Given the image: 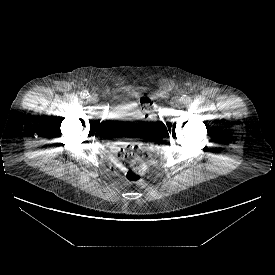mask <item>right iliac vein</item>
Returning <instances> with one entry per match:
<instances>
[{
  "label": "right iliac vein",
  "mask_w": 275,
  "mask_h": 275,
  "mask_svg": "<svg viewBox=\"0 0 275 275\" xmlns=\"http://www.w3.org/2000/svg\"><path fill=\"white\" fill-rule=\"evenodd\" d=\"M88 100L92 103H95L97 102V96L94 95V94H91L89 97H88Z\"/></svg>",
  "instance_id": "1"
}]
</instances>
